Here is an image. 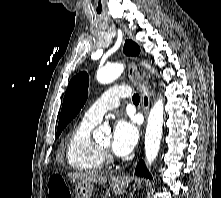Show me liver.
Wrapping results in <instances>:
<instances>
[{"instance_id": "1", "label": "liver", "mask_w": 221, "mask_h": 198, "mask_svg": "<svg viewBox=\"0 0 221 198\" xmlns=\"http://www.w3.org/2000/svg\"><path fill=\"white\" fill-rule=\"evenodd\" d=\"M68 177L77 179L78 181H84L87 183L103 184L107 181L106 176H102L100 174H96L92 172H73V173H69Z\"/></svg>"}]
</instances>
